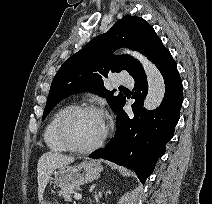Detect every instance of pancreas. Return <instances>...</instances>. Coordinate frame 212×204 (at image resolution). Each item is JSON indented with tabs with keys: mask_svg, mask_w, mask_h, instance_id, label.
Wrapping results in <instances>:
<instances>
[{
	"mask_svg": "<svg viewBox=\"0 0 212 204\" xmlns=\"http://www.w3.org/2000/svg\"><path fill=\"white\" fill-rule=\"evenodd\" d=\"M77 187L78 186H71V187L62 188L58 192V195L62 196L65 201L70 202V201H72V195L76 194Z\"/></svg>",
	"mask_w": 212,
	"mask_h": 204,
	"instance_id": "pancreas-1",
	"label": "pancreas"
}]
</instances>
